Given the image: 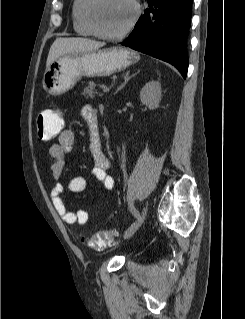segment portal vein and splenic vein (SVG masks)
<instances>
[{
	"label": "portal vein and splenic vein",
	"mask_w": 245,
	"mask_h": 319,
	"mask_svg": "<svg viewBox=\"0 0 245 319\" xmlns=\"http://www.w3.org/2000/svg\"><path fill=\"white\" fill-rule=\"evenodd\" d=\"M109 92H110V88H109V87H105V88L103 89V93L107 94V93H109Z\"/></svg>",
	"instance_id": "1"
}]
</instances>
